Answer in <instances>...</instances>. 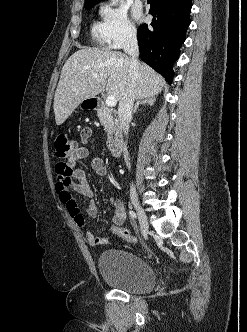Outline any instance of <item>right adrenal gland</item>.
Wrapping results in <instances>:
<instances>
[{"instance_id":"obj_1","label":"right adrenal gland","mask_w":247,"mask_h":332,"mask_svg":"<svg viewBox=\"0 0 247 332\" xmlns=\"http://www.w3.org/2000/svg\"><path fill=\"white\" fill-rule=\"evenodd\" d=\"M156 101V98L154 96H149V97H144L142 99L137 100L134 109H133V114L137 112V109L141 105H154Z\"/></svg>"}]
</instances>
